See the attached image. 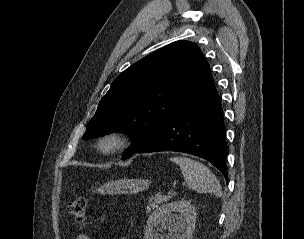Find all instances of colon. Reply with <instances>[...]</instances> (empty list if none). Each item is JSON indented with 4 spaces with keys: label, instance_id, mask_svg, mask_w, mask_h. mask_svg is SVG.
Segmentation results:
<instances>
[{
    "label": "colon",
    "instance_id": "colon-1",
    "mask_svg": "<svg viewBox=\"0 0 304 239\" xmlns=\"http://www.w3.org/2000/svg\"><path fill=\"white\" fill-rule=\"evenodd\" d=\"M87 201L84 197H76L67 203V212L79 224H83L86 217Z\"/></svg>",
    "mask_w": 304,
    "mask_h": 239
}]
</instances>
